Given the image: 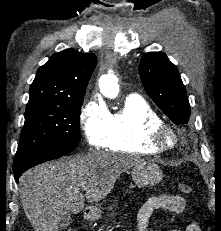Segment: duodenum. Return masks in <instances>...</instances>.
Returning a JSON list of instances; mask_svg holds the SVG:
<instances>
[{
  "label": "duodenum",
  "mask_w": 221,
  "mask_h": 231,
  "mask_svg": "<svg viewBox=\"0 0 221 231\" xmlns=\"http://www.w3.org/2000/svg\"><path fill=\"white\" fill-rule=\"evenodd\" d=\"M85 217H86V219L90 220V218H91L90 210H85Z\"/></svg>",
  "instance_id": "410a0bca"
}]
</instances>
